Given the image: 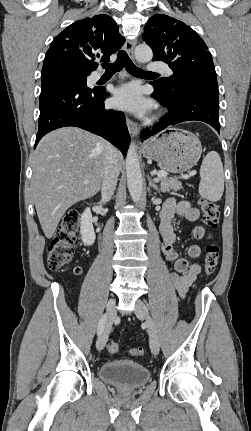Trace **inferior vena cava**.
<instances>
[{
  "label": "inferior vena cava",
  "instance_id": "1",
  "mask_svg": "<svg viewBox=\"0 0 251 431\" xmlns=\"http://www.w3.org/2000/svg\"><path fill=\"white\" fill-rule=\"evenodd\" d=\"M119 176V166L116 159V149L112 146L107 153L101 196L103 202H108L116 188Z\"/></svg>",
  "mask_w": 251,
  "mask_h": 431
}]
</instances>
